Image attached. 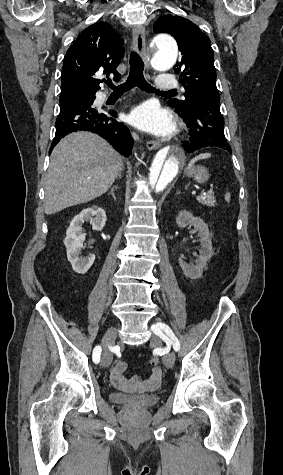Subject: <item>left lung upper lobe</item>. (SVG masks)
Returning <instances> with one entry per match:
<instances>
[{"instance_id":"1","label":"left lung upper lobe","mask_w":283,"mask_h":475,"mask_svg":"<svg viewBox=\"0 0 283 475\" xmlns=\"http://www.w3.org/2000/svg\"><path fill=\"white\" fill-rule=\"evenodd\" d=\"M155 33L171 34L181 51V61L175 73H180V83L185 88V100L171 99L168 104L187 112L194 100L202 96L220 98L216 87L214 54L210 39L190 20L173 15L160 16L154 23Z\"/></svg>"}]
</instances>
